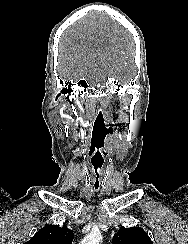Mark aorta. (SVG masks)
Wrapping results in <instances>:
<instances>
[{"mask_svg":"<svg viewBox=\"0 0 188 244\" xmlns=\"http://www.w3.org/2000/svg\"><path fill=\"white\" fill-rule=\"evenodd\" d=\"M102 238L100 230L95 228L83 238L80 244H101Z\"/></svg>","mask_w":188,"mask_h":244,"instance_id":"1","label":"aorta"}]
</instances>
